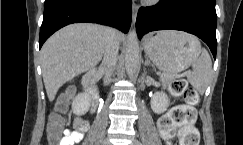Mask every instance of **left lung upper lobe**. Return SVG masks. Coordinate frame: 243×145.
<instances>
[{"label": "left lung upper lobe", "mask_w": 243, "mask_h": 145, "mask_svg": "<svg viewBox=\"0 0 243 145\" xmlns=\"http://www.w3.org/2000/svg\"><path fill=\"white\" fill-rule=\"evenodd\" d=\"M205 1H208V2H213V3L215 2V0H205Z\"/></svg>", "instance_id": "obj_1"}]
</instances>
